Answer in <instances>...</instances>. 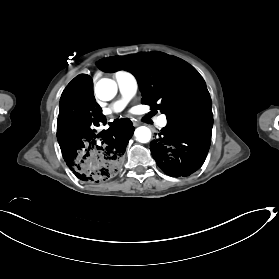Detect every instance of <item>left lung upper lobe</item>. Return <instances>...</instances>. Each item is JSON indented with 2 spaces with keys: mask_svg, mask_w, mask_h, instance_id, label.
Returning <instances> with one entry per match:
<instances>
[{
  "mask_svg": "<svg viewBox=\"0 0 279 279\" xmlns=\"http://www.w3.org/2000/svg\"><path fill=\"white\" fill-rule=\"evenodd\" d=\"M105 72L126 70L137 79L142 103L166 114L168 124L213 120L206 84L185 61L161 52L115 56L98 61Z\"/></svg>",
  "mask_w": 279,
  "mask_h": 279,
  "instance_id": "1",
  "label": "left lung upper lobe"
}]
</instances>
